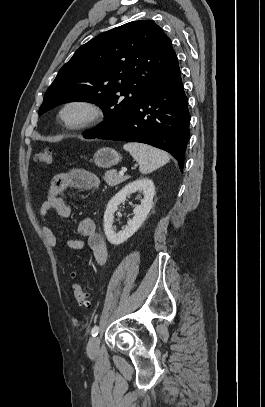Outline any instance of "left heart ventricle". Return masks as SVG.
I'll use <instances>...</instances> for the list:
<instances>
[{
    "instance_id": "b2bd125f",
    "label": "left heart ventricle",
    "mask_w": 265,
    "mask_h": 407,
    "mask_svg": "<svg viewBox=\"0 0 265 407\" xmlns=\"http://www.w3.org/2000/svg\"><path fill=\"white\" fill-rule=\"evenodd\" d=\"M81 111L78 109H72L68 112V117L71 119H76L81 116Z\"/></svg>"
}]
</instances>
